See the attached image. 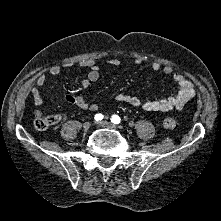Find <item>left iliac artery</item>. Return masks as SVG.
I'll return each instance as SVG.
<instances>
[{
  "mask_svg": "<svg viewBox=\"0 0 221 221\" xmlns=\"http://www.w3.org/2000/svg\"><path fill=\"white\" fill-rule=\"evenodd\" d=\"M120 117L118 115H113L112 118H111V121L114 123V124H119L120 123Z\"/></svg>",
  "mask_w": 221,
  "mask_h": 221,
  "instance_id": "obj_1",
  "label": "left iliac artery"
}]
</instances>
